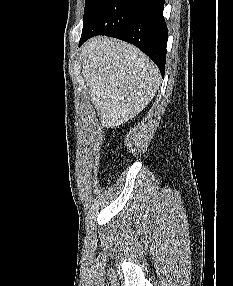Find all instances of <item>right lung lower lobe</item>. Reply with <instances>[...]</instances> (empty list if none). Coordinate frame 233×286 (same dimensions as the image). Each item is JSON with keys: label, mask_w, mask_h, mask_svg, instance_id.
Returning <instances> with one entry per match:
<instances>
[{"label": "right lung lower lobe", "mask_w": 233, "mask_h": 286, "mask_svg": "<svg viewBox=\"0 0 233 286\" xmlns=\"http://www.w3.org/2000/svg\"><path fill=\"white\" fill-rule=\"evenodd\" d=\"M164 0H100L84 20L79 46L96 35L132 43L147 54L164 76L167 26Z\"/></svg>", "instance_id": "1"}]
</instances>
